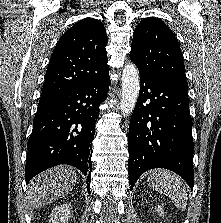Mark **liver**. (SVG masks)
<instances>
[{"mask_svg": "<svg viewBox=\"0 0 221 223\" xmlns=\"http://www.w3.org/2000/svg\"><path fill=\"white\" fill-rule=\"evenodd\" d=\"M77 182L75 170L70 166H56L39 174L28 186L31 206L40 209L72 191Z\"/></svg>", "mask_w": 221, "mask_h": 223, "instance_id": "liver-1", "label": "liver"}]
</instances>
